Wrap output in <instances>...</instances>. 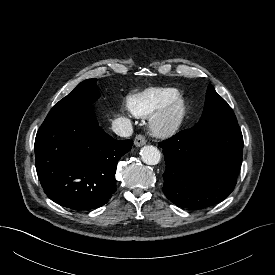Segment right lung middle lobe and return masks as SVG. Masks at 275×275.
<instances>
[{"label": "right lung middle lobe", "mask_w": 275, "mask_h": 275, "mask_svg": "<svg viewBox=\"0 0 275 275\" xmlns=\"http://www.w3.org/2000/svg\"><path fill=\"white\" fill-rule=\"evenodd\" d=\"M96 81L97 79H87L79 83L70 94L54 105L43 123L59 120L91 109V104L100 95Z\"/></svg>", "instance_id": "dd1d6c3e"}]
</instances>
